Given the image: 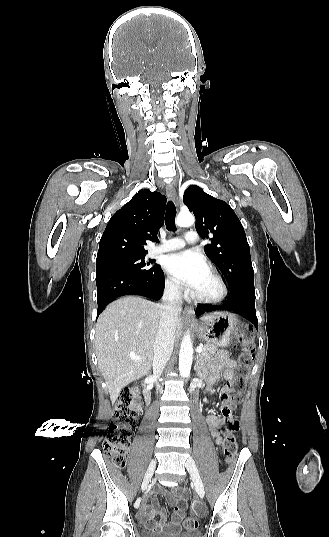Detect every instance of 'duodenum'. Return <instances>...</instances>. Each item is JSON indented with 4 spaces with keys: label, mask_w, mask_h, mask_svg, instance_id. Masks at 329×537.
<instances>
[{
    "label": "duodenum",
    "mask_w": 329,
    "mask_h": 537,
    "mask_svg": "<svg viewBox=\"0 0 329 537\" xmlns=\"http://www.w3.org/2000/svg\"><path fill=\"white\" fill-rule=\"evenodd\" d=\"M144 397L147 404L150 403V390L148 388V384L144 383Z\"/></svg>",
    "instance_id": "410a0bca"
}]
</instances>
